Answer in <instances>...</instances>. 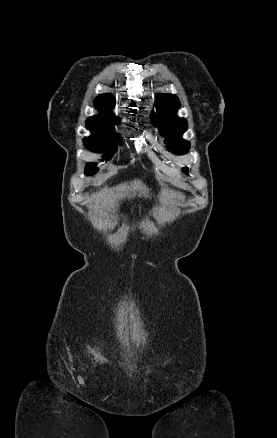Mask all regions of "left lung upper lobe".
Here are the masks:
<instances>
[{
  "instance_id": "5c2ea615",
  "label": "left lung upper lobe",
  "mask_w": 277,
  "mask_h": 438,
  "mask_svg": "<svg viewBox=\"0 0 277 438\" xmlns=\"http://www.w3.org/2000/svg\"><path fill=\"white\" fill-rule=\"evenodd\" d=\"M155 105L157 113H153L150 118L160 133L167 137V149L178 155L187 153L190 144L181 138L187 129V121L176 115L180 107L178 98L173 94H158ZM183 171L188 173L187 168H183Z\"/></svg>"
}]
</instances>
